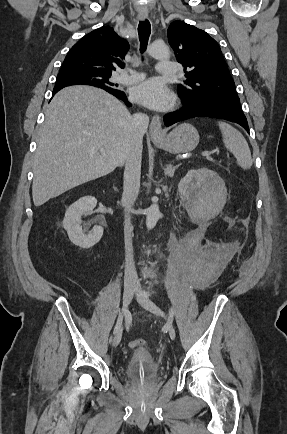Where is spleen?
<instances>
[{
  "label": "spleen",
  "mask_w": 287,
  "mask_h": 434,
  "mask_svg": "<svg viewBox=\"0 0 287 434\" xmlns=\"http://www.w3.org/2000/svg\"><path fill=\"white\" fill-rule=\"evenodd\" d=\"M218 126L222 133L223 143L225 147L233 153L237 160V164L242 169H250L253 160L246 139L237 129L228 123L218 122Z\"/></svg>",
  "instance_id": "spleen-1"
}]
</instances>
